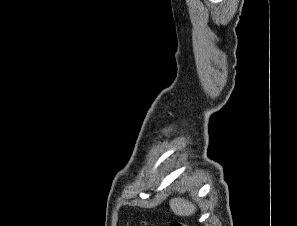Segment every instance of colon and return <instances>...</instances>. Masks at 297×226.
Instances as JSON below:
<instances>
[{
	"label": "colon",
	"instance_id": "obj_1",
	"mask_svg": "<svg viewBox=\"0 0 297 226\" xmlns=\"http://www.w3.org/2000/svg\"><path fill=\"white\" fill-rule=\"evenodd\" d=\"M171 226H187V225H185L184 223H181V222H174L171 224Z\"/></svg>",
	"mask_w": 297,
	"mask_h": 226
}]
</instances>
